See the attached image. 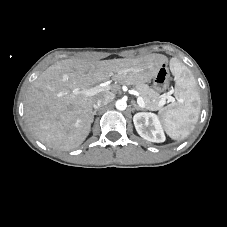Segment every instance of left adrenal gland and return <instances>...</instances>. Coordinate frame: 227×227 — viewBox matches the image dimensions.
Returning a JSON list of instances; mask_svg holds the SVG:
<instances>
[{
  "mask_svg": "<svg viewBox=\"0 0 227 227\" xmlns=\"http://www.w3.org/2000/svg\"><path fill=\"white\" fill-rule=\"evenodd\" d=\"M134 109L136 110H143V108H141L140 106H138L134 101L132 102Z\"/></svg>",
  "mask_w": 227,
  "mask_h": 227,
  "instance_id": "a2214340",
  "label": "left adrenal gland"
}]
</instances>
